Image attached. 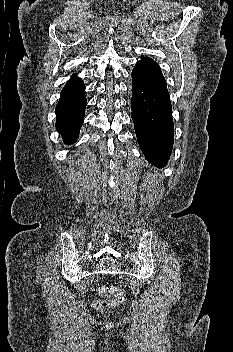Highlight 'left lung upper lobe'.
Instances as JSON below:
<instances>
[{
  "instance_id": "1",
  "label": "left lung upper lobe",
  "mask_w": 233,
  "mask_h": 352,
  "mask_svg": "<svg viewBox=\"0 0 233 352\" xmlns=\"http://www.w3.org/2000/svg\"><path fill=\"white\" fill-rule=\"evenodd\" d=\"M141 61L144 62L146 65L150 66L151 68H153L154 70L162 73L159 65L151 58L143 57V58H141Z\"/></svg>"
}]
</instances>
